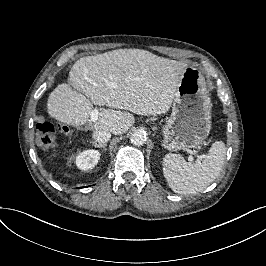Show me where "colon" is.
Returning a JSON list of instances; mask_svg holds the SVG:
<instances>
[{
  "label": "colon",
  "mask_w": 266,
  "mask_h": 266,
  "mask_svg": "<svg viewBox=\"0 0 266 266\" xmlns=\"http://www.w3.org/2000/svg\"><path fill=\"white\" fill-rule=\"evenodd\" d=\"M37 137L40 145L45 148L52 147L56 139V131L49 121H41L36 125Z\"/></svg>",
  "instance_id": "colon-1"
}]
</instances>
